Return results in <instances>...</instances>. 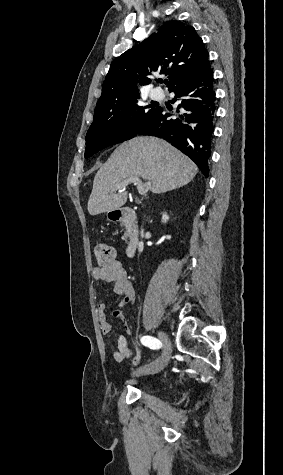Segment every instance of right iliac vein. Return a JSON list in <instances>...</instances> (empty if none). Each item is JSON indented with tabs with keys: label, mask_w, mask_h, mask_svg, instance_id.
Instances as JSON below:
<instances>
[{
	"label": "right iliac vein",
	"mask_w": 283,
	"mask_h": 475,
	"mask_svg": "<svg viewBox=\"0 0 283 475\" xmlns=\"http://www.w3.org/2000/svg\"><path fill=\"white\" fill-rule=\"evenodd\" d=\"M158 336L164 347L162 355L155 362H153L149 367L134 371V374H136V376H139L141 374L149 375V374L158 373L161 370H163L169 363L171 350H172L171 342L169 341L168 336L164 331H160L158 333Z\"/></svg>",
	"instance_id": "obj_1"
}]
</instances>
